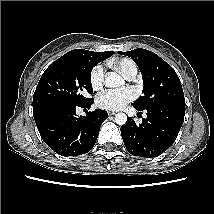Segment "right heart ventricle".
Segmentation results:
<instances>
[{
  "label": "right heart ventricle",
  "instance_id": "right-heart-ventricle-1",
  "mask_svg": "<svg viewBox=\"0 0 214 214\" xmlns=\"http://www.w3.org/2000/svg\"><path fill=\"white\" fill-rule=\"evenodd\" d=\"M112 65L117 71H119L126 78L133 71L137 72L136 64L129 58H121L115 61Z\"/></svg>",
  "mask_w": 214,
  "mask_h": 214
}]
</instances>
